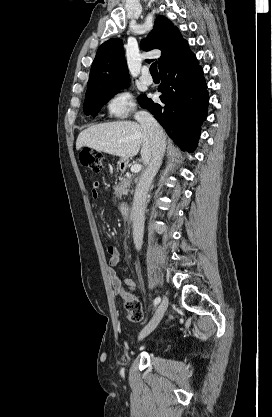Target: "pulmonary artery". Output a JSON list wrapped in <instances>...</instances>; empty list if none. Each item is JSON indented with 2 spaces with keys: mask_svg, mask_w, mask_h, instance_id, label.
<instances>
[{
  "mask_svg": "<svg viewBox=\"0 0 272 417\" xmlns=\"http://www.w3.org/2000/svg\"><path fill=\"white\" fill-rule=\"evenodd\" d=\"M141 81L144 83V84H147V85H150V84H152V82H153V79H152V77L148 74V71L147 70H144L143 71V73H142V75H141Z\"/></svg>",
  "mask_w": 272,
  "mask_h": 417,
  "instance_id": "e3ab8cb5",
  "label": "pulmonary artery"
}]
</instances>
